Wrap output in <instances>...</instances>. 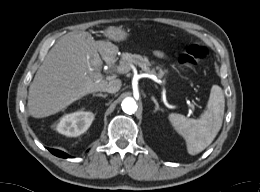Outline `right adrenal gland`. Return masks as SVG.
Returning a JSON list of instances; mask_svg holds the SVG:
<instances>
[{"label":"right adrenal gland","mask_w":260,"mask_h":192,"mask_svg":"<svg viewBox=\"0 0 260 192\" xmlns=\"http://www.w3.org/2000/svg\"><path fill=\"white\" fill-rule=\"evenodd\" d=\"M93 96H98V97L106 98V97H107V94L98 93V94H93Z\"/></svg>","instance_id":"obj_1"}]
</instances>
